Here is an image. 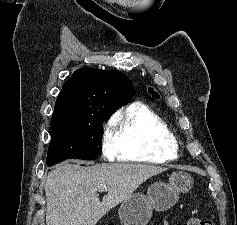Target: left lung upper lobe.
Segmentation results:
<instances>
[{
    "instance_id": "5c2ea615",
    "label": "left lung upper lobe",
    "mask_w": 237,
    "mask_h": 225,
    "mask_svg": "<svg viewBox=\"0 0 237 225\" xmlns=\"http://www.w3.org/2000/svg\"><path fill=\"white\" fill-rule=\"evenodd\" d=\"M149 91L152 93V95H153L154 97H156V98L159 97V95H158L157 93L153 92L151 89H149Z\"/></svg>"
}]
</instances>
